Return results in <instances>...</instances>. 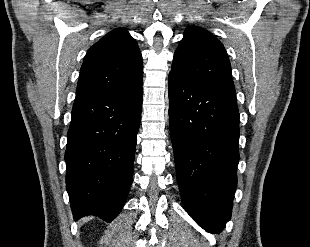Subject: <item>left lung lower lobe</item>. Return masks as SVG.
Listing matches in <instances>:
<instances>
[{
  "label": "left lung lower lobe",
  "instance_id": "0a47b994",
  "mask_svg": "<svg viewBox=\"0 0 310 247\" xmlns=\"http://www.w3.org/2000/svg\"><path fill=\"white\" fill-rule=\"evenodd\" d=\"M169 125L183 204L206 231L231 217L239 161L235 93L169 73Z\"/></svg>",
  "mask_w": 310,
  "mask_h": 247
}]
</instances>
